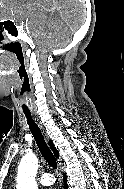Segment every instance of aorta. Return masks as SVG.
Segmentation results:
<instances>
[{
  "instance_id": "762f6f07",
  "label": "aorta",
  "mask_w": 124,
  "mask_h": 189,
  "mask_svg": "<svg viewBox=\"0 0 124 189\" xmlns=\"http://www.w3.org/2000/svg\"><path fill=\"white\" fill-rule=\"evenodd\" d=\"M38 159L33 154H26L18 166L16 189H38L36 174Z\"/></svg>"
}]
</instances>
